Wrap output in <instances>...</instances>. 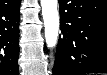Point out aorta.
<instances>
[{
  "label": "aorta",
  "mask_w": 107,
  "mask_h": 75,
  "mask_svg": "<svg viewBox=\"0 0 107 75\" xmlns=\"http://www.w3.org/2000/svg\"><path fill=\"white\" fill-rule=\"evenodd\" d=\"M45 28V41L48 48H54L59 36V13L57 0H40Z\"/></svg>",
  "instance_id": "1"
}]
</instances>
